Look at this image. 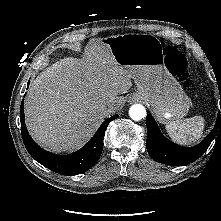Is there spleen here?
I'll list each match as a JSON object with an SVG mask.
<instances>
[{
	"mask_svg": "<svg viewBox=\"0 0 221 221\" xmlns=\"http://www.w3.org/2000/svg\"><path fill=\"white\" fill-rule=\"evenodd\" d=\"M204 125L203 117L194 116L171 122L166 125V130L173 141L182 145H190L202 137Z\"/></svg>",
	"mask_w": 221,
	"mask_h": 221,
	"instance_id": "spleen-1",
	"label": "spleen"
}]
</instances>
